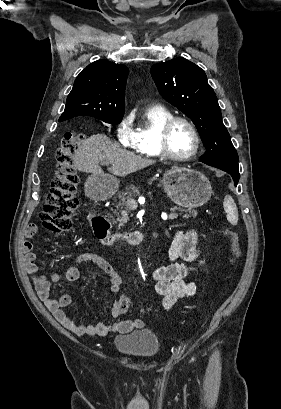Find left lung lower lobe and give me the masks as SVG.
Returning a JSON list of instances; mask_svg holds the SVG:
<instances>
[{
	"instance_id": "obj_1",
	"label": "left lung lower lobe",
	"mask_w": 281,
	"mask_h": 409,
	"mask_svg": "<svg viewBox=\"0 0 281 409\" xmlns=\"http://www.w3.org/2000/svg\"><path fill=\"white\" fill-rule=\"evenodd\" d=\"M206 164L228 172L232 176V178L234 180V184L237 185V183L239 181V177H240L239 168H238L237 163L215 162V163H206Z\"/></svg>"
}]
</instances>
